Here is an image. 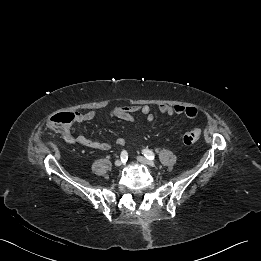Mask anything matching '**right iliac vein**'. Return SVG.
Returning a JSON list of instances; mask_svg holds the SVG:
<instances>
[{
    "label": "right iliac vein",
    "mask_w": 261,
    "mask_h": 261,
    "mask_svg": "<svg viewBox=\"0 0 261 261\" xmlns=\"http://www.w3.org/2000/svg\"><path fill=\"white\" fill-rule=\"evenodd\" d=\"M122 164H123V163H122V161H121L120 159H118V160L115 161V166H116V167H120Z\"/></svg>",
    "instance_id": "63e3f726"
}]
</instances>
